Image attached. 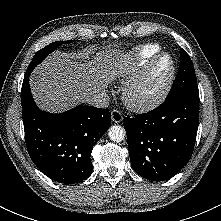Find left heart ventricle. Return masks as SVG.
<instances>
[{"label":"left heart ventricle","mask_w":221,"mask_h":221,"mask_svg":"<svg viewBox=\"0 0 221 221\" xmlns=\"http://www.w3.org/2000/svg\"><path fill=\"white\" fill-rule=\"evenodd\" d=\"M170 67L171 64L168 58L160 59L137 88L136 96L138 98H148L154 95L166 81Z\"/></svg>","instance_id":"1"}]
</instances>
